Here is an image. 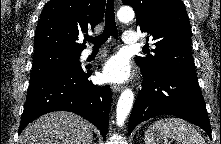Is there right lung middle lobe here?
I'll return each instance as SVG.
<instances>
[{"label": "right lung middle lobe", "instance_id": "dd1d6c3e", "mask_svg": "<svg viewBox=\"0 0 221 144\" xmlns=\"http://www.w3.org/2000/svg\"><path fill=\"white\" fill-rule=\"evenodd\" d=\"M81 53L64 51H43L34 53L30 82L55 70L79 66Z\"/></svg>", "mask_w": 221, "mask_h": 144}]
</instances>
